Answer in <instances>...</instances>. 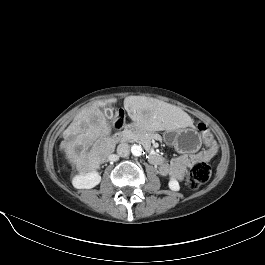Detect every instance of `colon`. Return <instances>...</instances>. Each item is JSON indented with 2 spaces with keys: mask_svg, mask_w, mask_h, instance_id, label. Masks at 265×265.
Listing matches in <instances>:
<instances>
[{
  "mask_svg": "<svg viewBox=\"0 0 265 265\" xmlns=\"http://www.w3.org/2000/svg\"><path fill=\"white\" fill-rule=\"evenodd\" d=\"M126 122V115L122 109H117L113 116V126L116 129H121ZM198 129L203 133L205 143H211L212 137L208 132L207 126L204 123L198 124ZM211 165L206 162H198L194 164L189 172L188 184L191 188L197 189L202 184L206 183L211 176Z\"/></svg>",
  "mask_w": 265,
  "mask_h": 265,
  "instance_id": "colon-1",
  "label": "colon"
}]
</instances>
